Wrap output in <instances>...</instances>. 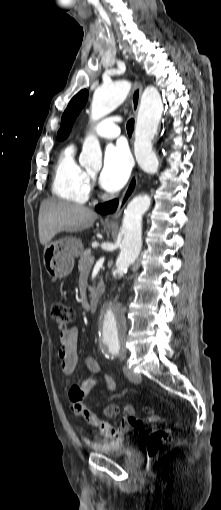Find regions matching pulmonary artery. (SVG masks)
I'll return each mask as SVG.
<instances>
[{
  "label": "pulmonary artery",
  "mask_w": 221,
  "mask_h": 510,
  "mask_svg": "<svg viewBox=\"0 0 221 510\" xmlns=\"http://www.w3.org/2000/svg\"><path fill=\"white\" fill-rule=\"evenodd\" d=\"M90 133L96 136L114 139L120 134L119 125L112 119H104L90 128Z\"/></svg>",
  "instance_id": "obj_1"
}]
</instances>
